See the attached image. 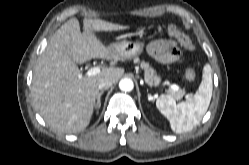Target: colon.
Wrapping results in <instances>:
<instances>
[{
  "mask_svg": "<svg viewBox=\"0 0 249 165\" xmlns=\"http://www.w3.org/2000/svg\"><path fill=\"white\" fill-rule=\"evenodd\" d=\"M158 30L162 33H166L169 36L175 38L186 49L193 48V42L190 39V37L187 36L186 34H184L176 26H174V25H169V26L160 25L158 27ZM185 77L188 81H191V82L194 81L196 78L195 70L193 68H188L185 72Z\"/></svg>",
  "mask_w": 249,
  "mask_h": 165,
  "instance_id": "1",
  "label": "colon"
}]
</instances>
